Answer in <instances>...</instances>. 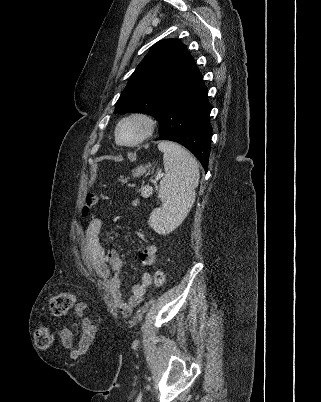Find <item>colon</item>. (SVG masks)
I'll use <instances>...</instances> for the list:
<instances>
[{"label": "colon", "mask_w": 321, "mask_h": 402, "mask_svg": "<svg viewBox=\"0 0 321 402\" xmlns=\"http://www.w3.org/2000/svg\"><path fill=\"white\" fill-rule=\"evenodd\" d=\"M99 198L97 195L91 194L86 198L82 208L83 216L88 215L97 205ZM166 282V274L163 270L158 269L153 274V283L157 287H162ZM76 298L72 292H61L52 296L50 300V311L54 316H62L69 312L75 305ZM35 344L38 348H48L53 341V333L46 326H38L34 334Z\"/></svg>", "instance_id": "5ec220e1"}]
</instances>
